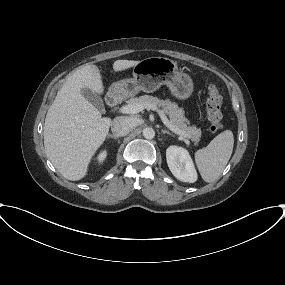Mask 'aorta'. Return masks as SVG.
Masks as SVG:
<instances>
[{
	"mask_svg": "<svg viewBox=\"0 0 285 285\" xmlns=\"http://www.w3.org/2000/svg\"><path fill=\"white\" fill-rule=\"evenodd\" d=\"M142 135L146 139H153L155 137V131L153 128L146 127L143 129Z\"/></svg>",
	"mask_w": 285,
	"mask_h": 285,
	"instance_id": "762f6f07",
	"label": "aorta"
}]
</instances>
